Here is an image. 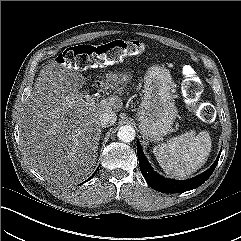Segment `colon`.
Wrapping results in <instances>:
<instances>
[{
	"label": "colon",
	"mask_w": 241,
	"mask_h": 241,
	"mask_svg": "<svg viewBox=\"0 0 241 241\" xmlns=\"http://www.w3.org/2000/svg\"><path fill=\"white\" fill-rule=\"evenodd\" d=\"M143 43L135 40H114L102 45L83 44L65 49L57 58L60 65L75 70L112 64L124 56L141 54ZM202 84L195 72L184 70L183 94L188 106L203 120L211 121L214 110L211 105L200 102Z\"/></svg>",
	"instance_id": "colon-1"
}]
</instances>
